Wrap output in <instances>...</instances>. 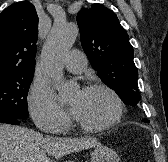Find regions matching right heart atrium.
I'll list each match as a JSON object with an SVG mask.
<instances>
[{"label": "right heart atrium", "instance_id": "obj_1", "mask_svg": "<svg viewBox=\"0 0 168 162\" xmlns=\"http://www.w3.org/2000/svg\"><path fill=\"white\" fill-rule=\"evenodd\" d=\"M28 107L34 123L44 132H61L69 123L67 112L45 83L33 84L28 96Z\"/></svg>", "mask_w": 168, "mask_h": 162}]
</instances>
